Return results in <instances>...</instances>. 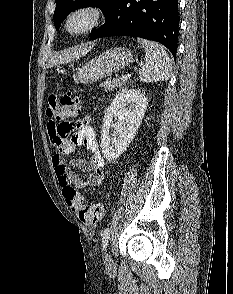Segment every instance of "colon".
I'll return each instance as SVG.
<instances>
[{"instance_id":"1","label":"colon","mask_w":233,"mask_h":294,"mask_svg":"<svg viewBox=\"0 0 233 294\" xmlns=\"http://www.w3.org/2000/svg\"><path fill=\"white\" fill-rule=\"evenodd\" d=\"M79 111L80 99L74 90H69L60 96L52 94L49 97L47 115L52 119L53 117H60V120H67L75 117ZM63 196L68 206L86 225H96L104 215V208L101 204H85L83 196L72 187H65Z\"/></svg>"}]
</instances>
